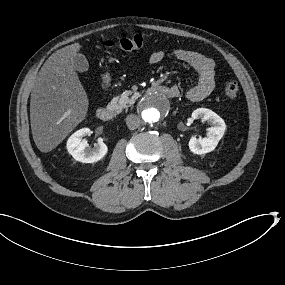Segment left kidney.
Wrapping results in <instances>:
<instances>
[{"label":"left kidney","instance_id":"1","mask_svg":"<svg viewBox=\"0 0 285 285\" xmlns=\"http://www.w3.org/2000/svg\"><path fill=\"white\" fill-rule=\"evenodd\" d=\"M192 119L207 121L212 126L207 129L206 137L196 138L192 136L189 140V148L195 154H205L215 149L223 137L226 124L224 120L210 109L198 108L193 111Z\"/></svg>","mask_w":285,"mask_h":285}]
</instances>
